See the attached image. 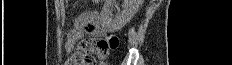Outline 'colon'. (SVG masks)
I'll return each instance as SVG.
<instances>
[{
    "mask_svg": "<svg viewBox=\"0 0 232 65\" xmlns=\"http://www.w3.org/2000/svg\"><path fill=\"white\" fill-rule=\"evenodd\" d=\"M119 45V37L114 33L107 34L103 39L95 42L93 40H83L79 44V52L83 59L90 65L105 64L102 60L110 50H114Z\"/></svg>",
    "mask_w": 232,
    "mask_h": 65,
    "instance_id": "obj_1",
    "label": "colon"
}]
</instances>
